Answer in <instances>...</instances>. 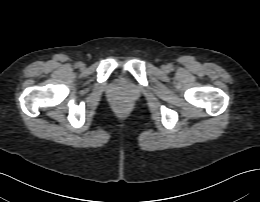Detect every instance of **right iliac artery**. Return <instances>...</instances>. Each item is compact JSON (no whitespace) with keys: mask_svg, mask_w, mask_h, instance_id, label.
<instances>
[{"mask_svg":"<svg viewBox=\"0 0 260 202\" xmlns=\"http://www.w3.org/2000/svg\"><path fill=\"white\" fill-rule=\"evenodd\" d=\"M80 63H81V62H77L75 66H76V67H80Z\"/></svg>","mask_w":260,"mask_h":202,"instance_id":"obj_1","label":"right iliac artery"}]
</instances>
